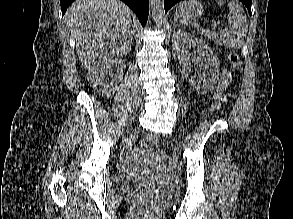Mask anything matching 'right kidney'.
Returning a JSON list of instances; mask_svg holds the SVG:
<instances>
[{
  "label": "right kidney",
  "mask_w": 293,
  "mask_h": 219,
  "mask_svg": "<svg viewBox=\"0 0 293 219\" xmlns=\"http://www.w3.org/2000/svg\"><path fill=\"white\" fill-rule=\"evenodd\" d=\"M122 60L113 57H103L89 68L87 80L92 85L94 91L102 97L109 98L117 90L118 77L112 76L111 80L107 77L114 63L121 64Z\"/></svg>",
  "instance_id": "obj_1"
}]
</instances>
